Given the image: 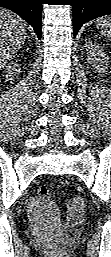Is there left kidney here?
<instances>
[{
  "instance_id": "1",
  "label": "left kidney",
  "mask_w": 111,
  "mask_h": 257,
  "mask_svg": "<svg viewBox=\"0 0 111 257\" xmlns=\"http://www.w3.org/2000/svg\"><path fill=\"white\" fill-rule=\"evenodd\" d=\"M85 47L87 48L88 62L99 72H104V65H106L108 60L104 49L92 41L86 42Z\"/></svg>"
}]
</instances>
